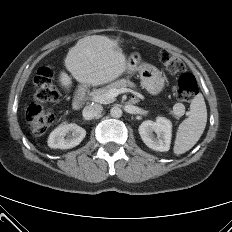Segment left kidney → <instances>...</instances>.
<instances>
[{
  "instance_id": "5707ae66",
  "label": "left kidney",
  "mask_w": 232,
  "mask_h": 232,
  "mask_svg": "<svg viewBox=\"0 0 232 232\" xmlns=\"http://www.w3.org/2000/svg\"><path fill=\"white\" fill-rule=\"evenodd\" d=\"M138 130L143 142L149 148L160 152L170 149L172 137V123L170 120L164 117H157L155 122L146 120L141 123Z\"/></svg>"
}]
</instances>
